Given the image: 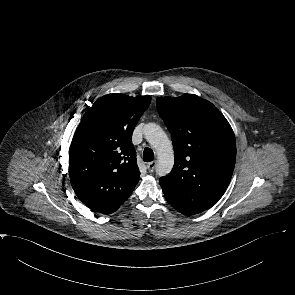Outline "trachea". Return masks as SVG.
<instances>
[{
    "mask_svg": "<svg viewBox=\"0 0 295 295\" xmlns=\"http://www.w3.org/2000/svg\"><path fill=\"white\" fill-rule=\"evenodd\" d=\"M143 159L145 162H151L154 160V153L153 150L150 148H145L143 152Z\"/></svg>",
    "mask_w": 295,
    "mask_h": 295,
    "instance_id": "obj_1",
    "label": "trachea"
}]
</instances>
